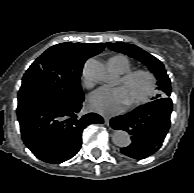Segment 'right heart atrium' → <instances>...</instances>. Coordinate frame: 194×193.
I'll return each instance as SVG.
<instances>
[{
	"label": "right heart atrium",
	"mask_w": 194,
	"mask_h": 193,
	"mask_svg": "<svg viewBox=\"0 0 194 193\" xmlns=\"http://www.w3.org/2000/svg\"><path fill=\"white\" fill-rule=\"evenodd\" d=\"M84 83L87 87H91L92 86V81L86 76V74L84 73Z\"/></svg>",
	"instance_id": "obj_1"
}]
</instances>
